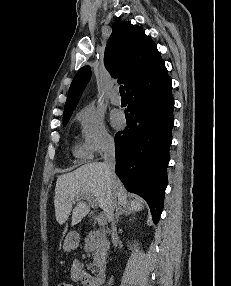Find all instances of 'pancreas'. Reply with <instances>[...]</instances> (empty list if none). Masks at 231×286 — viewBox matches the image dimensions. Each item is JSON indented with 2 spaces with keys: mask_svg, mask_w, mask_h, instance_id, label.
I'll list each match as a JSON object with an SVG mask.
<instances>
[{
  "mask_svg": "<svg viewBox=\"0 0 231 286\" xmlns=\"http://www.w3.org/2000/svg\"><path fill=\"white\" fill-rule=\"evenodd\" d=\"M85 251L92 252L93 262L90 267L94 270L101 268L106 263V254L109 248V242L106 238L105 231L94 230L90 231L85 238Z\"/></svg>",
  "mask_w": 231,
  "mask_h": 286,
  "instance_id": "obj_1",
  "label": "pancreas"
}]
</instances>
